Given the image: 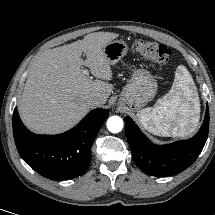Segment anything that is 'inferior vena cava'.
<instances>
[{
    "mask_svg": "<svg viewBox=\"0 0 215 215\" xmlns=\"http://www.w3.org/2000/svg\"><path fill=\"white\" fill-rule=\"evenodd\" d=\"M87 103L90 107H96L102 105V100L99 97L92 96L87 99Z\"/></svg>",
    "mask_w": 215,
    "mask_h": 215,
    "instance_id": "inferior-vena-cava-1",
    "label": "inferior vena cava"
}]
</instances>
